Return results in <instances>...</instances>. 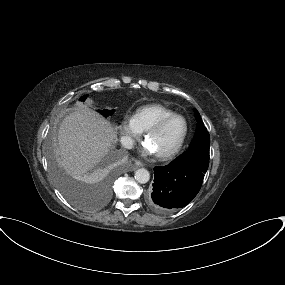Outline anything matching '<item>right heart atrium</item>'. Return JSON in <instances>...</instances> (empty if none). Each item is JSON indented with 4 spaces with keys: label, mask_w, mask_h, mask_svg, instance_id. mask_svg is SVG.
<instances>
[{
    "label": "right heart atrium",
    "mask_w": 285,
    "mask_h": 285,
    "mask_svg": "<svg viewBox=\"0 0 285 285\" xmlns=\"http://www.w3.org/2000/svg\"><path fill=\"white\" fill-rule=\"evenodd\" d=\"M120 132L124 141L128 144H132L133 141L137 140L141 135V131L137 127L134 118L129 116L121 120Z\"/></svg>",
    "instance_id": "obj_1"
}]
</instances>
